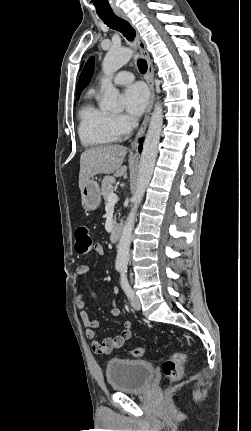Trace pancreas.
Listing matches in <instances>:
<instances>
[{"instance_id":"obj_1","label":"pancreas","mask_w":251,"mask_h":431,"mask_svg":"<svg viewBox=\"0 0 251 431\" xmlns=\"http://www.w3.org/2000/svg\"><path fill=\"white\" fill-rule=\"evenodd\" d=\"M115 180L112 177H104L102 181L101 194L104 197L106 203H108V196L114 192L115 187L113 186Z\"/></svg>"}]
</instances>
